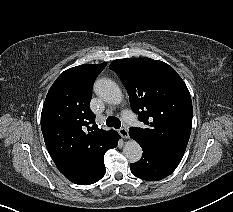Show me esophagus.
Here are the masks:
<instances>
[{
	"label": "esophagus",
	"instance_id": "1",
	"mask_svg": "<svg viewBox=\"0 0 233 212\" xmlns=\"http://www.w3.org/2000/svg\"><path fill=\"white\" fill-rule=\"evenodd\" d=\"M119 133L124 139L129 138V132H128V130L126 128L119 129Z\"/></svg>",
	"mask_w": 233,
	"mask_h": 212
}]
</instances>
